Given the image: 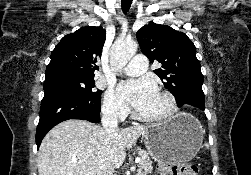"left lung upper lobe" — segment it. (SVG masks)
Instances as JSON below:
<instances>
[{
    "label": "left lung upper lobe",
    "instance_id": "5c2ea615",
    "mask_svg": "<svg viewBox=\"0 0 251 175\" xmlns=\"http://www.w3.org/2000/svg\"><path fill=\"white\" fill-rule=\"evenodd\" d=\"M136 36L141 51L150 62L162 64L154 72L177 102L205 103L204 79L196 58V47L185 33L167 25L149 23Z\"/></svg>",
    "mask_w": 251,
    "mask_h": 175
}]
</instances>
